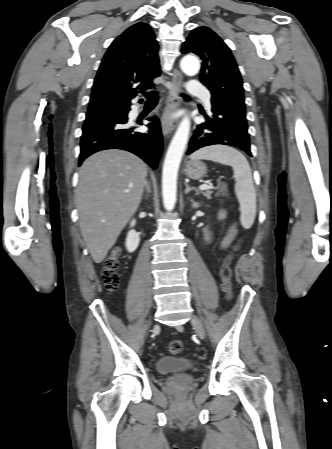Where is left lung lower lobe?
<instances>
[{
	"instance_id": "0a47b994",
	"label": "left lung lower lobe",
	"mask_w": 332,
	"mask_h": 449,
	"mask_svg": "<svg viewBox=\"0 0 332 449\" xmlns=\"http://www.w3.org/2000/svg\"><path fill=\"white\" fill-rule=\"evenodd\" d=\"M211 111L213 115L196 127L186 154L205 146L222 144L238 147L251 156L245 112L217 106H212Z\"/></svg>"
}]
</instances>
